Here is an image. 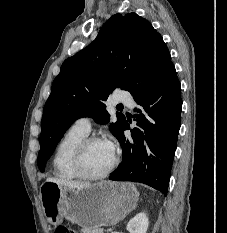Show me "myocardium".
Wrapping results in <instances>:
<instances>
[{
	"label": "myocardium",
	"mask_w": 227,
	"mask_h": 233,
	"mask_svg": "<svg viewBox=\"0 0 227 233\" xmlns=\"http://www.w3.org/2000/svg\"><path fill=\"white\" fill-rule=\"evenodd\" d=\"M96 142H104V140H102L99 137H95V136L86 137L79 143V145L76 147L74 151L73 158H72V166H73L75 173L78 175L79 178L86 179V180L104 179L113 172V170L115 169V167L117 166L119 162V157L117 153L115 152V150H113L112 162L105 171H103L102 173H98V174H93V173L88 172L84 166V157H85L88 147L91 144L96 143Z\"/></svg>",
	"instance_id": "myocardium-1"
}]
</instances>
